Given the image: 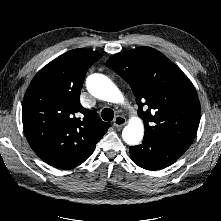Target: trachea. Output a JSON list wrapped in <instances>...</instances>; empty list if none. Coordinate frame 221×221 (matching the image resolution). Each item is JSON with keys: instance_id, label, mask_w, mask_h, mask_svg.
I'll return each instance as SVG.
<instances>
[{"instance_id": "trachea-1", "label": "trachea", "mask_w": 221, "mask_h": 221, "mask_svg": "<svg viewBox=\"0 0 221 221\" xmlns=\"http://www.w3.org/2000/svg\"><path fill=\"white\" fill-rule=\"evenodd\" d=\"M101 116L105 121H112L114 118V112L110 108H104L102 110Z\"/></svg>"}]
</instances>
